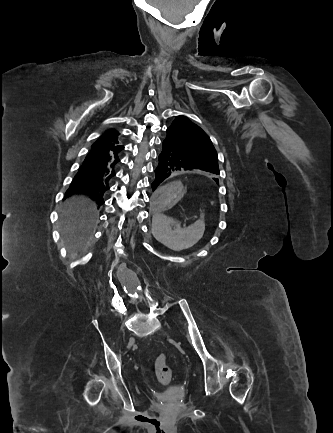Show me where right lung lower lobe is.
Wrapping results in <instances>:
<instances>
[{
  "mask_svg": "<svg viewBox=\"0 0 333 433\" xmlns=\"http://www.w3.org/2000/svg\"><path fill=\"white\" fill-rule=\"evenodd\" d=\"M123 149L121 144L109 146L96 141L68 188L67 196L88 194L101 206L104 203L103 195L109 190V183L116 174Z\"/></svg>",
  "mask_w": 333,
  "mask_h": 433,
  "instance_id": "right-lung-lower-lobe-1",
  "label": "right lung lower lobe"
}]
</instances>
